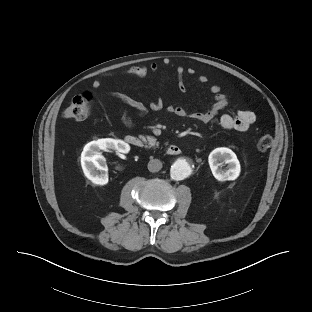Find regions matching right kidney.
Listing matches in <instances>:
<instances>
[{"label":"right kidney","instance_id":"right-kidney-1","mask_svg":"<svg viewBox=\"0 0 312 312\" xmlns=\"http://www.w3.org/2000/svg\"><path fill=\"white\" fill-rule=\"evenodd\" d=\"M100 150H115L116 152L128 153L130 146L122 140L99 139L85 145L81 154V166L85 176L94 184L105 185L108 183L106 159L100 154Z\"/></svg>","mask_w":312,"mask_h":312}]
</instances>
